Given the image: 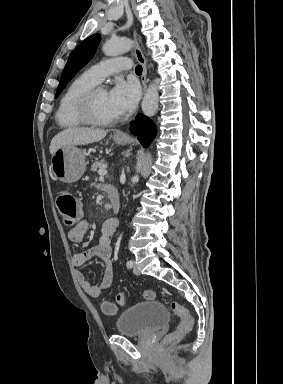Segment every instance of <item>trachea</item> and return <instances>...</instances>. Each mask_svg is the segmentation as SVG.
Instances as JSON below:
<instances>
[{"instance_id": "obj_1", "label": "trachea", "mask_w": 283, "mask_h": 384, "mask_svg": "<svg viewBox=\"0 0 283 384\" xmlns=\"http://www.w3.org/2000/svg\"><path fill=\"white\" fill-rule=\"evenodd\" d=\"M135 73L137 75H141L142 74V66L141 65H137V67L135 68Z\"/></svg>"}]
</instances>
